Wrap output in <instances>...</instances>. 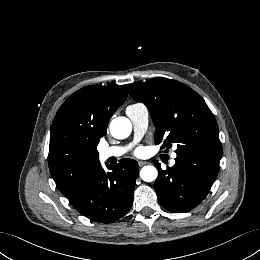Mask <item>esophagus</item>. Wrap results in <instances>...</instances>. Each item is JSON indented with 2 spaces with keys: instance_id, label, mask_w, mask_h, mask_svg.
Masks as SVG:
<instances>
[{
  "instance_id": "obj_1",
  "label": "esophagus",
  "mask_w": 260,
  "mask_h": 260,
  "mask_svg": "<svg viewBox=\"0 0 260 260\" xmlns=\"http://www.w3.org/2000/svg\"><path fill=\"white\" fill-rule=\"evenodd\" d=\"M146 164H148V162H146V161H138V165H139L140 167H142V166H144V165H146Z\"/></svg>"
}]
</instances>
